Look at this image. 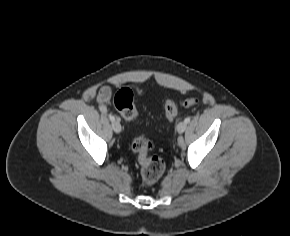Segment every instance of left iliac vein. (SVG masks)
<instances>
[{"instance_id": "4c4485c4", "label": "left iliac vein", "mask_w": 290, "mask_h": 236, "mask_svg": "<svg viewBox=\"0 0 290 236\" xmlns=\"http://www.w3.org/2000/svg\"><path fill=\"white\" fill-rule=\"evenodd\" d=\"M186 127H187V123L185 121H181L177 125V131L179 133H183L186 130Z\"/></svg>"}]
</instances>
